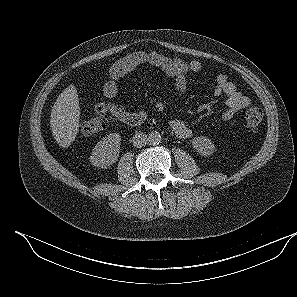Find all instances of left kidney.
<instances>
[{
	"label": "left kidney",
	"mask_w": 297,
	"mask_h": 297,
	"mask_svg": "<svg viewBox=\"0 0 297 297\" xmlns=\"http://www.w3.org/2000/svg\"><path fill=\"white\" fill-rule=\"evenodd\" d=\"M194 149L202 156H210L215 151V146L208 137L200 136L192 140Z\"/></svg>",
	"instance_id": "5707ae66"
}]
</instances>
